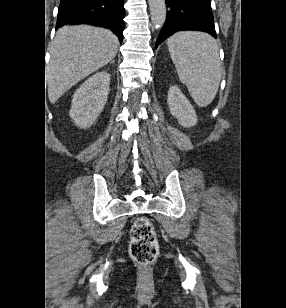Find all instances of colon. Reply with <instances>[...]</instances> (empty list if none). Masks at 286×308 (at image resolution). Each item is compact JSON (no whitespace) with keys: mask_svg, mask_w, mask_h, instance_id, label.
<instances>
[{"mask_svg":"<svg viewBox=\"0 0 286 308\" xmlns=\"http://www.w3.org/2000/svg\"><path fill=\"white\" fill-rule=\"evenodd\" d=\"M129 251L132 259L140 265H149L159 254V243L152 222L139 217L131 229Z\"/></svg>","mask_w":286,"mask_h":308,"instance_id":"1","label":"colon"}]
</instances>
